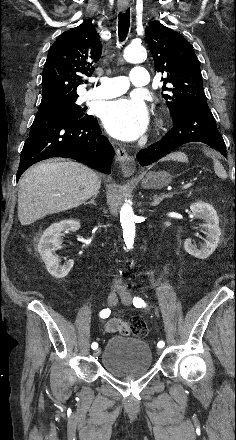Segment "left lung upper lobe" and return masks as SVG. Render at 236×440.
Instances as JSON below:
<instances>
[{
  "label": "left lung upper lobe",
  "instance_id": "obj_1",
  "mask_svg": "<svg viewBox=\"0 0 236 440\" xmlns=\"http://www.w3.org/2000/svg\"><path fill=\"white\" fill-rule=\"evenodd\" d=\"M145 35L155 69L166 75L162 90L169 93L163 98L175 122L190 105L207 102L199 61L191 44L159 21L151 22ZM167 83L170 87H166Z\"/></svg>",
  "mask_w": 236,
  "mask_h": 440
}]
</instances>
